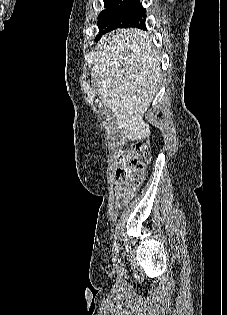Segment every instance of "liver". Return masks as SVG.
Returning <instances> with one entry per match:
<instances>
[{
    "label": "liver",
    "mask_w": 227,
    "mask_h": 315,
    "mask_svg": "<svg viewBox=\"0 0 227 315\" xmlns=\"http://www.w3.org/2000/svg\"><path fill=\"white\" fill-rule=\"evenodd\" d=\"M92 77L117 132L128 140L149 138L143 116L161 77L159 52L151 39L136 28L105 34L96 45Z\"/></svg>",
    "instance_id": "6515ba94"
}]
</instances>
